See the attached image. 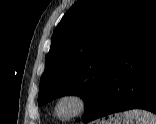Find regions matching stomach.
<instances>
[{
  "label": "stomach",
  "instance_id": "obj_1",
  "mask_svg": "<svg viewBox=\"0 0 156 124\" xmlns=\"http://www.w3.org/2000/svg\"><path fill=\"white\" fill-rule=\"evenodd\" d=\"M101 124H134V121L132 118H127L124 114L119 113L113 119L102 121Z\"/></svg>",
  "mask_w": 156,
  "mask_h": 124
}]
</instances>
